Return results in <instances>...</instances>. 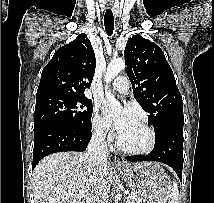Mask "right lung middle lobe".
<instances>
[{
  "label": "right lung middle lobe",
  "mask_w": 214,
  "mask_h": 203,
  "mask_svg": "<svg viewBox=\"0 0 214 203\" xmlns=\"http://www.w3.org/2000/svg\"><path fill=\"white\" fill-rule=\"evenodd\" d=\"M93 106L83 95L51 94L36 98L34 130L49 124H59L91 131Z\"/></svg>",
  "instance_id": "dd1d6c3e"
}]
</instances>
